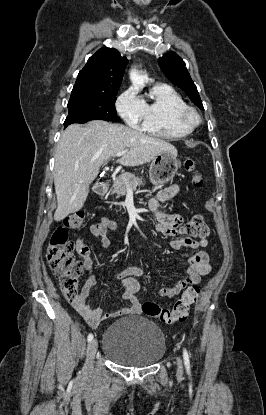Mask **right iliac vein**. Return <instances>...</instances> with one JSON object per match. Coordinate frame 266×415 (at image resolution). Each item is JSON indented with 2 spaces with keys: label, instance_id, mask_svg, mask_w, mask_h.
<instances>
[{
  "label": "right iliac vein",
  "instance_id": "1",
  "mask_svg": "<svg viewBox=\"0 0 266 415\" xmlns=\"http://www.w3.org/2000/svg\"><path fill=\"white\" fill-rule=\"evenodd\" d=\"M98 343L96 339L89 342L86 352V368L90 369L97 351Z\"/></svg>",
  "mask_w": 266,
  "mask_h": 415
}]
</instances>
